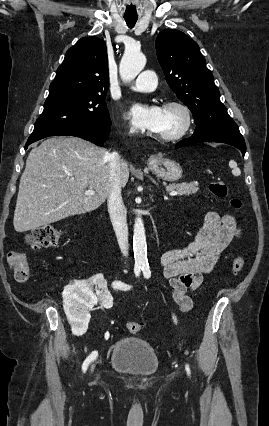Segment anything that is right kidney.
<instances>
[{
    "label": "right kidney",
    "mask_w": 269,
    "mask_h": 426,
    "mask_svg": "<svg viewBox=\"0 0 269 426\" xmlns=\"http://www.w3.org/2000/svg\"><path fill=\"white\" fill-rule=\"evenodd\" d=\"M104 278V275L99 273L88 280L70 281L68 287L63 289V307L67 318L72 325L81 327L84 332L90 319L88 311L93 306L98 311L112 309L113 296L109 294ZM93 287L101 291L94 294Z\"/></svg>",
    "instance_id": "obj_1"
}]
</instances>
